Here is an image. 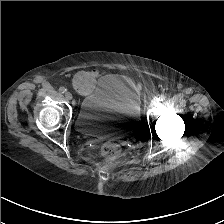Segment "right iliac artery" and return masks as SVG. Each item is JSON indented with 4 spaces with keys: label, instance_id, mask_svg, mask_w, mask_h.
Here are the masks:
<instances>
[{
    "label": "right iliac artery",
    "instance_id": "right-iliac-artery-1",
    "mask_svg": "<svg viewBox=\"0 0 224 224\" xmlns=\"http://www.w3.org/2000/svg\"><path fill=\"white\" fill-rule=\"evenodd\" d=\"M59 92L62 93V94L65 93V92H66V88H64V87H60V88H59Z\"/></svg>",
    "mask_w": 224,
    "mask_h": 224
}]
</instances>
